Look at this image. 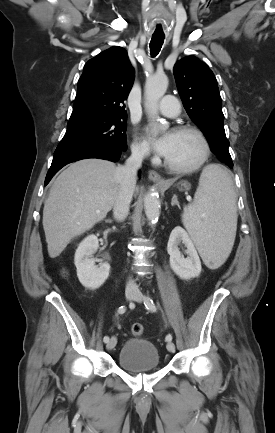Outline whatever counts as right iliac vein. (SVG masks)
<instances>
[{
  "label": "right iliac vein",
  "mask_w": 275,
  "mask_h": 433,
  "mask_svg": "<svg viewBox=\"0 0 275 433\" xmlns=\"http://www.w3.org/2000/svg\"><path fill=\"white\" fill-rule=\"evenodd\" d=\"M134 296H135V293L132 291H127L125 293V297L127 300L133 299ZM116 344H117V339L115 336H112L106 345L107 350H112L116 346Z\"/></svg>",
  "instance_id": "1"
}]
</instances>
